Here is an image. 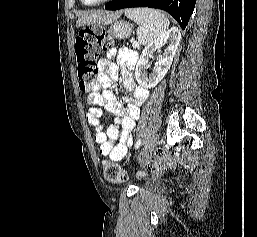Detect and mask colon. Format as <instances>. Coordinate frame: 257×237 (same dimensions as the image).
I'll return each mask as SVG.
<instances>
[{
    "label": "colon",
    "instance_id": "colon-1",
    "mask_svg": "<svg viewBox=\"0 0 257 237\" xmlns=\"http://www.w3.org/2000/svg\"><path fill=\"white\" fill-rule=\"evenodd\" d=\"M113 46L111 36L96 26L83 28L75 41V53L77 59L79 88L82 91L89 90L97 76V58L101 50L110 49ZM173 165V159L164 151L159 150L156 159L148 164L149 174L159 176L166 168ZM105 179L110 183H120L127 177L126 172L116 162L105 161L103 164Z\"/></svg>",
    "mask_w": 257,
    "mask_h": 237
}]
</instances>
